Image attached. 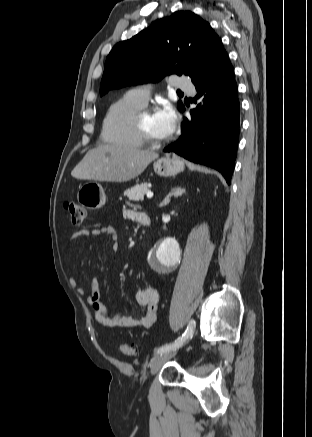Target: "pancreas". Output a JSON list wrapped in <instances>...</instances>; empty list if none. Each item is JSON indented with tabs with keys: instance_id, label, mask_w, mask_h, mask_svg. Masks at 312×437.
<instances>
[{
	"instance_id": "obj_1",
	"label": "pancreas",
	"mask_w": 312,
	"mask_h": 437,
	"mask_svg": "<svg viewBox=\"0 0 312 437\" xmlns=\"http://www.w3.org/2000/svg\"><path fill=\"white\" fill-rule=\"evenodd\" d=\"M147 192L148 184L141 183L131 187V189L126 190L124 192V196H127L132 201H142Z\"/></svg>"
}]
</instances>
